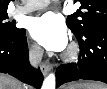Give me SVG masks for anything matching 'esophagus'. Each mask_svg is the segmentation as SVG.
<instances>
[{
  "label": "esophagus",
  "mask_w": 107,
  "mask_h": 89,
  "mask_svg": "<svg viewBox=\"0 0 107 89\" xmlns=\"http://www.w3.org/2000/svg\"><path fill=\"white\" fill-rule=\"evenodd\" d=\"M51 68H52L51 64H45V63L41 64V71L43 75H47L51 70Z\"/></svg>",
  "instance_id": "1"
}]
</instances>
